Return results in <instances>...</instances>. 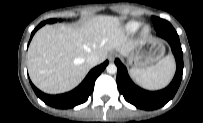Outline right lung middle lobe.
Wrapping results in <instances>:
<instances>
[{
	"label": "right lung middle lobe",
	"mask_w": 203,
	"mask_h": 123,
	"mask_svg": "<svg viewBox=\"0 0 203 123\" xmlns=\"http://www.w3.org/2000/svg\"><path fill=\"white\" fill-rule=\"evenodd\" d=\"M56 21H57V19H49V20H47V21L41 22L40 24H41V25H45L46 23H54V22H56Z\"/></svg>",
	"instance_id": "obj_1"
}]
</instances>
